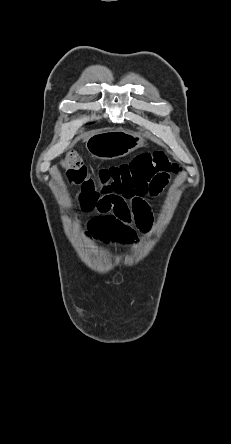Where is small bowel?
Instances as JSON below:
<instances>
[{
  "label": "small bowel",
  "instance_id": "c3829d8e",
  "mask_svg": "<svg viewBox=\"0 0 231 444\" xmlns=\"http://www.w3.org/2000/svg\"><path fill=\"white\" fill-rule=\"evenodd\" d=\"M163 185L164 182H153L152 193L158 192ZM81 208L86 212H97V215L87 222L86 233L104 243L133 242L137 238V231L146 233L153 223L152 212L143 199H141V207L134 210L128 201L119 197H82Z\"/></svg>",
  "mask_w": 231,
  "mask_h": 444
}]
</instances>
